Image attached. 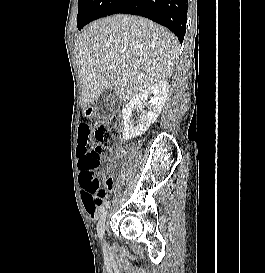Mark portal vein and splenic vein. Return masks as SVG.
<instances>
[{"label": "portal vein and splenic vein", "instance_id": "obj_1", "mask_svg": "<svg viewBox=\"0 0 265 273\" xmlns=\"http://www.w3.org/2000/svg\"><path fill=\"white\" fill-rule=\"evenodd\" d=\"M125 69H126V65L123 64V65H122V70H125Z\"/></svg>", "mask_w": 265, "mask_h": 273}]
</instances>
